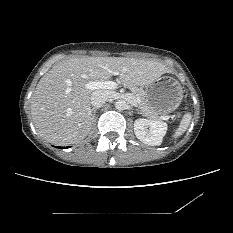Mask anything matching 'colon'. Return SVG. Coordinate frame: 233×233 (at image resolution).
Segmentation results:
<instances>
[{
    "instance_id": "5ec220e1",
    "label": "colon",
    "mask_w": 233,
    "mask_h": 233,
    "mask_svg": "<svg viewBox=\"0 0 233 233\" xmlns=\"http://www.w3.org/2000/svg\"><path fill=\"white\" fill-rule=\"evenodd\" d=\"M181 117V114H178V118H180Z\"/></svg>"
}]
</instances>
